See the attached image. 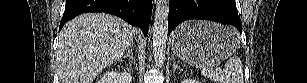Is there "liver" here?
Segmentation results:
<instances>
[{
    "label": "liver",
    "mask_w": 307,
    "mask_h": 83,
    "mask_svg": "<svg viewBox=\"0 0 307 83\" xmlns=\"http://www.w3.org/2000/svg\"><path fill=\"white\" fill-rule=\"evenodd\" d=\"M138 31L115 16L86 13L67 22L57 49L59 83H92L132 47Z\"/></svg>",
    "instance_id": "1"
}]
</instances>
